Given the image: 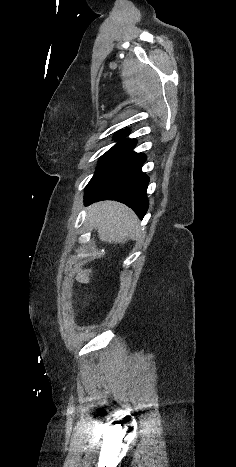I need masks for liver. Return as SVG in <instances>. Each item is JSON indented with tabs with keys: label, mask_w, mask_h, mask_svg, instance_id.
<instances>
[{
	"label": "liver",
	"mask_w": 236,
	"mask_h": 467,
	"mask_svg": "<svg viewBox=\"0 0 236 467\" xmlns=\"http://www.w3.org/2000/svg\"><path fill=\"white\" fill-rule=\"evenodd\" d=\"M88 219L98 230L100 240L108 243H125L138 228V220L134 212L115 201L93 204L89 207ZM91 272V269L79 271L76 280L80 283H89Z\"/></svg>",
	"instance_id": "obj_1"
}]
</instances>
